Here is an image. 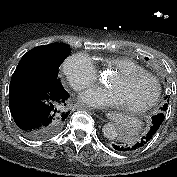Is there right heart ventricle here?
Listing matches in <instances>:
<instances>
[{
    "label": "right heart ventricle",
    "instance_id": "obj_1",
    "mask_svg": "<svg viewBox=\"0 0 177 177\" xmlns=\"http://www.w3.org/2000/svg\"><path fill=\"white\" fill-rule=\"evenodd\" d=\"M105 66L114 68L117 72L144 71V68L136 61L126 58H110L105 60Z\"/></svg>",
    "mask_w": 177,
    "mask_h": 177
}]
</instances>
